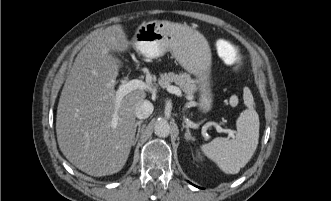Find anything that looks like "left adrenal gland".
Here are the masks:
<instances>
[{
  "instance_id": "1",
  "label": "left adrenal gland",
  "mask_w": 331,
  "mask_h": 201,
  "mask_svg": "<svg viewBox=\"0 0 331 201\" xmlns=\"http://www.w3.org/2000/svg\"><path fill=\"white\" fill-rule=\"evenodd\" d=\"M183 125V128H186V131H185V139L187 141L191 140V141H194V137H192L190 131H189V127L187 125H184V123L182 124Z\"/></svg>"
}]
</instances>
